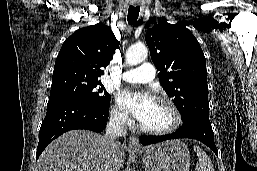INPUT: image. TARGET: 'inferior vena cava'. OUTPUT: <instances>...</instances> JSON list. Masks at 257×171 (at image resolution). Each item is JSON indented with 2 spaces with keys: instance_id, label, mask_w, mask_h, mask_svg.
Returning a JSON list of instances; mask_svg holds the SVG:
<instances>
[{
  "instance_id": "inferior-vena-cava-1",
  "label": "inferior vena cava",
  "mask_w": 257,
  "mask_h": 171,
  "mask_svg": "<svg viewBox=\"0 0 257 171\" xmlns=\"http://www.w3.org/2000/svg\"><path fill=\"white\" fill-rule=\"evenodd\" d=\"M127 133V116L123 114H113L110 116L106 125L105 140L107 144V161L104 165V171H117L115 168L117 142L116 138L125 136Z\"/></svg>"
}]
</instances>
